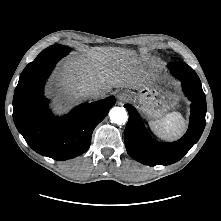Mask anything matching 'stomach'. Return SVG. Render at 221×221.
Returning a JSON list of instances; mask_svg holds the SVG:
<instances>
[{"label":"stomach","mask_w":221,"mask_h":221,"mask_svg":"<svg viewBox=\"0 0 221 221\" xmlns=\"http://www.w3.org/2000/svg\"><path fill=\"white\" fill-rule=\"evenodd\" d=\"M142 112L150 119H158L167 111L175 109L180 100L177 86L169 83L150 84L132 93Z\"/></svg>","instance_id":"1"}]
</instances>
